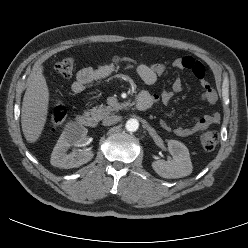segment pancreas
<instances>
[{"mask_svg": "<svg viewBox=\"0 0 248 248\" xmlns=\"http://www.w3.org/2000/svg\"><path fill=\"white\" fill-rule=\"evenodd\" d=\"M125 104L124 103H118L114 106H103L100 105L99 107H93L92 109L89 110V113L92 117L100 120L104 118L105 116L111 114L113 111H119L120 109L124 108Z\"/></svg>", "mask_w": 248, "mask_h": 248, "instance_id": "obj_1", "label": "pancreas"}]
</instances>
